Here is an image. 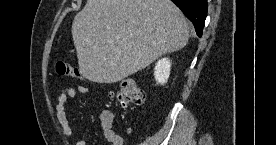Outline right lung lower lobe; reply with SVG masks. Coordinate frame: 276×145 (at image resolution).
Segmentation results:
<instances>
[{"label":"right lung lower lobe","instance_id":"98d812e1","mask_svg":"<svg viewBox=\"0 0 276 145\" xmlns=\"http://www.w3.org/2000/svg\"><path fill=\"white\" fill-rule=\"evenodd\" d=\"M194 24L196 33L202 36L207 15V0H172Z\"/></svg>","mask_w":276,"mask_h":145}]
</instances>
